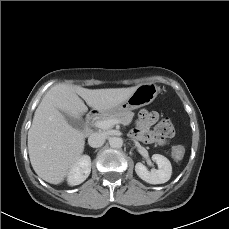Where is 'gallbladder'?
<instances>
[{
    "mask_svg": "<svg viewBox=\"0 0 229 229\" xmlns=\"http://www.w3.org/2000/svg\"><path fill=\"white\" fill-rule=\"evenodd\" d=\"M66 121L74 128H81L82 127V120L79 119V118H74V117H71L65 113H63Z\"/></svg>",
    "mask_w": 229,
    "mask_h": 229,
    "instance_id": "obj_1",
    "label": "gallbladder"
}]
</instances>
